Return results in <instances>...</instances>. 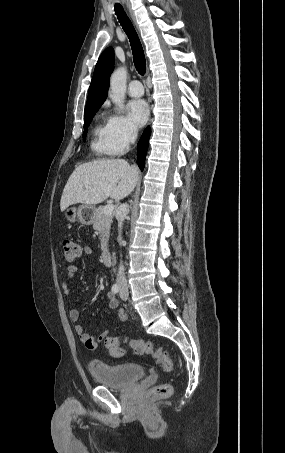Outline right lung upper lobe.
Masks as SVG:
<instances>
[{
    "mask_svg": "<svg viewBox=\"0 0 285 453\" xmlns=\"http://www.w3.org/2000/svg\"><path fill=\"white\" fill-rule=\"evenodd\" d=\"M114 68V50L105 49L95 66V71L88 91L85 113L98 111L107 97L109 77Z\"/></svg>",
    "mask_w": 285,
    "mask_h": 453,
    "instance_id": "1",
    "label": "right lung upper lobe"
}]
</instances>
